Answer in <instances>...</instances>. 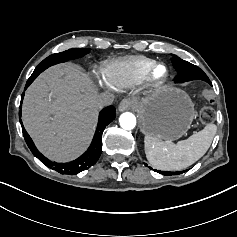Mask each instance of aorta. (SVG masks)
Wrapping results in <instances>:
<instances>
[{"label":"aorta","mask_w":237,"mask_h":237,"mask_svg":"<svg viewBox=\"0 0 237 237\" xmlns=\"http://www.w3.org/2000/svg\"><path fill=\"white\" fill-rule=\"evenodd\" d=\"M120 126L125 130H132L136 126V117L130 112H125L119 117Z\"/></svg>","instance_id":"762f6f07"}]
</instances>
